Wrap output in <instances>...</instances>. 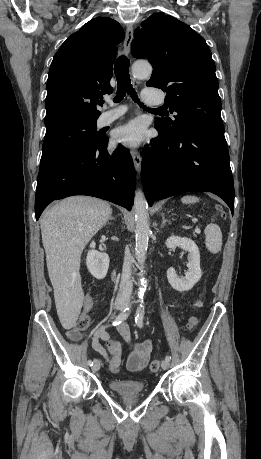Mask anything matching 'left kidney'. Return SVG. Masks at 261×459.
I'll use <instances>...</instances> for the list:
<instances>
[{"mask_svg":"<svg viewBox=\"0 0 261 459\" xmlns=\"http://www.w3.org/2000/svg\"><path fill=\"white\" fill-rule=\"evenodd\" d=\"M167 248L181 247L188 252V271L185 277H178L174 268L167 270V279L172 288L179 292L188 291L200 280L202 271L200 268V253L195 242L186 237L170 236L165 242Z\"/></svg>","mask_w":261,"mask_h":459,"instance_id":"1","label":"left kidney"}]
</instances>
